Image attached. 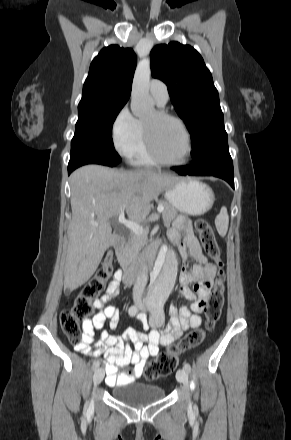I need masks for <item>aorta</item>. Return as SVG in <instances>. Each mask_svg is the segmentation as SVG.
Wrapping results in <instances>:
<instances>
[{"mask_svg": "<svg viewBox=\"0 0 291 440\" xmlns=\"http://www.w3.org/2000/svg\"><path fill=\"white\" fill-rule=\"evenodd\" d=\"M151 77L150 60L142 59L136 68L133 85L131 111L134 116L143 118L155 109V103L149 94ZM154 271L147 295L148 305H161L171 292L176 279V259L173 251L164 248V256L159 259Z\"/></svg>", "mask_w": 291, "mask_h": 440, "instance_id": "762f6f07", "label": "aorta"}]
</instances>
